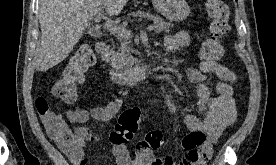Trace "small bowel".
I'll list each match as a JSON object with an SVG mask.
<instances>
[{"instance_id": "c3829d8e", "label": "small bowel", "mask_w": 276, "mask_h": 165, "mask_svg": "<svg viewBox=\"0 0 276 165\" xmlns=\"http://www.w3.org/2000/svg\"><path fill=\"white\" fill-rule=\"evenodd\" d=\"M190 43V35L186 31H178L165 38L167 53H175ZM188 79L197 85V111L201 115L185 113L182 121L190 132H202L206 135L205 144L193 155L187 154L184 159L174 162L170 157H157L152 153L137 151L135 158H131L126 144L114 145L113 153L117 165H205L212 154V146L220 136L237 120V111L233 100V84L237 81L236 74L217 61L203 60L199 67H189L186 71ZM208 75H215L219 81L214 85L215 96H212L205 81ZM121 99L115 98L105 106H93L89 110L76 107L67 112L71 123L76 125L73 134L76 142L73 148H67L58 142L62 152L74 165H89L91 157L84 152L89 143H99L101 132H94L87 124L90 121L107 123L118 113ZM49 133V124L41 117ZM66 127V124L63 122ZM67 128V127H66ZM55 140V139H54Z\"/></svg>"}]
</instances>
